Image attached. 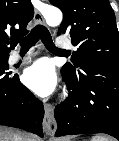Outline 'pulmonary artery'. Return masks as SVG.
<instances>
[{
	"label": "pulmonary artery",
	"instance_id": "obj_1",
	"mask_svg": "<svg viewBox=\"0 0 119 141\" xmlns=\"http://www.w3.org/2000/svg\"><path fill=\"white\" fill-rule=\"evenodd\" d=\"M57 46L60 48H71V44L69 42H66L64 40H59L57 43ZM29 57V55H20L19 53H14L11 56V62L12 63H17L21 60L27 59Z\"/></svg>",
	"mask_w": 119,
	"mask_h": 141
}]
</instances>
